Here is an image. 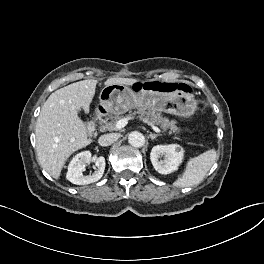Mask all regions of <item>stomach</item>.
Returning a JSON list of instances; mask_svg holds the SVG:
<instances>
[{"instance_id": "0dacf381", "label": "stomach", "mask_w": 264, "mask_h": 264, "mask_svg": "<svg viewBox=\"0 0 264 264\" xmlns=\"http://www.w3.org/2000/svg\"><path fill=\"white\" fill-rule=\"evenodd\" d=\"M98 115H120L131 109L147 111H164L181 117L193 115L197 109L194 95L181 92H160L153 89H141L135 92L131 88L112 84L105 86L99 95Z\"/></svg>"}]
</instances>
